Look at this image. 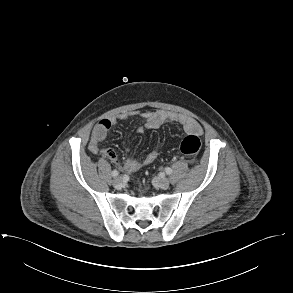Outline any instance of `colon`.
<instances>
[{"instance_id": "1", "label": "colon", "mask_w": 293, "mask_h": 293, "mask_svg": "<svg viewBox=\"0 0 293 293\" xmlns=\"http://www.w3.org/2000/svg\"><path fill=\"white\" fill-rule=\"evenodd\" d=\"M103 131L101 129H97L94 133V136L97 138L102 136ZM180 151L186 156H195L199 153L201 149V141L195 135L186 136L180 143Z\"/></svg>"}]
</instances>
